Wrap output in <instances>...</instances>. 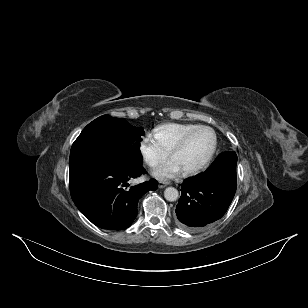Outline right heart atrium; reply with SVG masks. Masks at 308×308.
<instances>
[{
	"label": "right heart atrium",
	"instance_id": "right-heart-atrium-1",
	"mask_svg": "<svg viewBox=\"0 0 308 308\" xmlns=\"http://www.w3.org/2000/svg\"><path fill=\"white\" fill-rule=\"evenodd\" d=\"M138 151L148 167H155L168 157V151L160 146L153 135H144L138 143Z\"/></svg>",
	"mask_w": 308,
	"mask_h": 308
}]
</instances>
